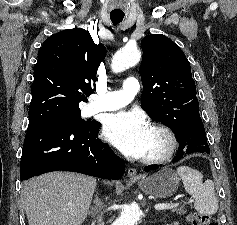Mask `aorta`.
<instances>
[{
  "mask_svg": "<svg viewBox=\"0 0 237 225\" xmlns=\"http://www.w3.org/2000/svg\"><path fill=\"white\" fill-rule=\"evenodd\" d=\"M141 58V53L137 47H124L113 57L112 70L116 73L136 65ZM141 211L138 207L125 206L121 214L112 225H138Z\"/></svg>",
  "mask_w": 237,
  "mask_h": 225,
  "instance_id": "obj_1",
  "label": "aorta"
}]
</instances>
